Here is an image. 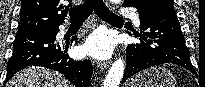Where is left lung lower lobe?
<instances>
[{
  "label": "left lung lower lobe",
  "instance_id": "obj_1",
  "mask_svg": "<svg viewBox=\"0 0 205 87\" xmlns=\"http://www.w3.org/2000/svg\"><path fill=\"white\" fill-rule=\"evenodd\" d=\"M135 8L139 13L142 34H134L141 43L127 46L123 82L143 69L164 63L194 71L173 3L157 2Z\"/></svg>",
  "mask_w": 205,
  "mask_h": 87
}]
</instances>
